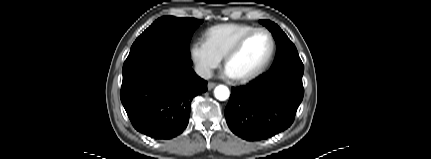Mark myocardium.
<instances>
[{
    "instance_id": "1",
    "label": "myocardium",
    "mask_w": 431,
    "mask_h": 159,
    "mask_svg": "<svg viewBox=\"0 0 431 159\" xmlns=\"http://www.w3.org/2000/svg\"><path fill=\"white\" fill-rule=\"evenodd\" d=\"M257 33H265L269 36L270 40H271V51L270 54L267 58V60L265 61V63L255 72L248 74L246 76H242V77H234V79L239 82V83H248L251 82L257 78H259L260 76H262L271 66V64L273 63V60L275 58L276 55V50H277V43H276V39L274 37V35L272 34L271 31H269L266 28H255L252 31H249L248 33L244 34L235 44L234 46L227 52V54L224 57V62H225V67L227 68L229 62L236 56L238 55L241 50L243 49V47L245 46L246 42L255 34Z\"/></svg>"
}]
</instances>
